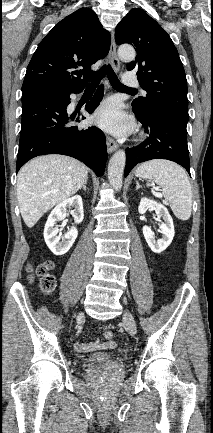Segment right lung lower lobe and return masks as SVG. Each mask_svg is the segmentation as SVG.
Segmentation results:
<instances>
[{
  "instance_id": "right-lung-lower-lobe-1",
  "label": "right lung lower lobe",
  "mask_w": 213,
  "mask_h": 433,
  "mask_svg": "<svg viewBox=\"0 0 213 433\" xmlns=\"http://www.w3.org/2000/svg\"><path fill=\"white\" fill-rule=\"evenodd\" d=\"M84 87L66 94L37 91L22 94V124L16 173L28 160L44 154H63L79 159L101 176L105 170L107 148L103 132L95 126L79 128L84 116H68L70 94L80 93ZM103 97V85L96 91L86 110L92 113Z\"/></svg>"
}]
</instances>
